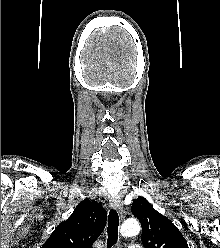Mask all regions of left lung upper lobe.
<instances>
[{"label":"left lung upper lobe","mask_w":220,"mask_h":248,"mask_svg":"<svg viewBox=\"0 0 220 248\" xmlns=\"http://www.w3.org/2000/svg\"><path fill=\"white\" fill-rule=\"evenodd\" d=\"M132 212L141 222L142 243L146 248H189L179 229L144 197L133 201Z\"/></svg>","instance_id":"5c2ea615"}]
</instances>
